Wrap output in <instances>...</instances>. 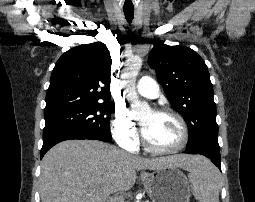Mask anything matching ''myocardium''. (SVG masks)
I'll return each mask as SVG.
<instances>
[{
  "mask_svg": "<svg viewBox=\"0 0 255 202\" xmlns=\"http://www.w3.org/2000/svg\"><path fill=\"white\" fill-rule=\"evenodd\" d=\"M153 112L158 115L171 116L174 119H176L180 125L182 137H181L180 143L175 147L168 148V149L156 148L149 143V141L147 140V138L145 136L143 127H141V140H142L144 148L148 152H151L154 154H173V153H177V152L183 150L189 141V130H188V126H187V123L184 120V118L176 111H174L172 109H168V108L156 109Z\"/></svg>",
  "mask_w": 255,
  "mask_h": 202,
  "instance_id": "f54148a6",
  "label": "myocardium"
}]
</instances>
